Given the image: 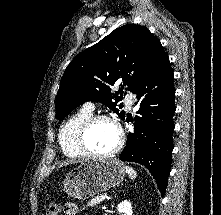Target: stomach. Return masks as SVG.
Segmentation results:
<instances>
[{
  "mask_svg": "<svg viewBox=\"0 0 221 215\" xmlns=\"http://www.w3.org/2000/svg\"><path fill=\"white\" fill-rule=\"evenodd\" d=\"M125 169L117 160H87L71 170L63 181L64 191L85 200L120 184Z\"/></svg>",
  "mask_w": 221,
  "mask_h": 215,
  "instance_id": "obj_1",
  "label": "stomach"
}]
</instances>
